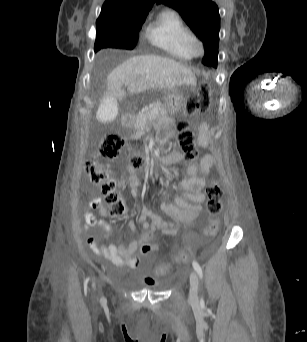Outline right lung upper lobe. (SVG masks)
Returning <instances> with one entry per match:
<instances>
[{
	"label": "right lung upper lobe",
	"mask_w": 307,
	"mask_h": 342,
	"mask_svg": "<svg viewBox=\"0 0 307 342\" xmlns=\"http://www.w3.org/2000/svg\"><path fill=\"white\" fill-rule=\"evenodd\" d=\"M155 0H107L96 21L97 31L138 33Z\"/></svg>",
	"instance_id": "obj_1"
}]
</instances>
